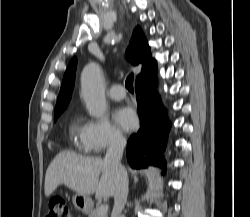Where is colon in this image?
Wrapping results in <instances>:
<instances>
[{"mask_svg":"<svg viewBox=\"0 0 250 217\" xmlns=\"http://www.w3.org/2000/svg\"><path fill=\"white\" fill-rule=\"evenodd\" d=\"M46 217H71L69 207L62 198H54L49 203Z\"/></svg>","mask_w":250,"mask_h":217,"instance_id":"colon-1","label":"colon"}]
</instances>
